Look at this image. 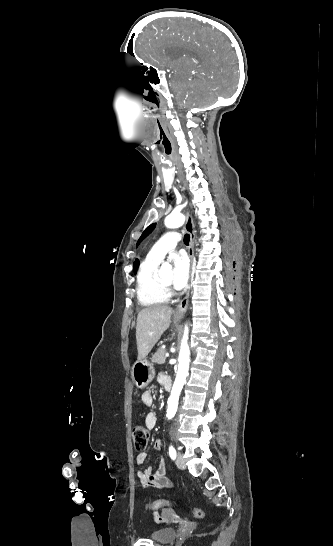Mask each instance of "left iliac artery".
<instances>
[{
  "label": "left iliac artery",
  "mask_w": 333,
  "mask_h": 546,
  "mask_svg": "<svg viewBox=\"0 0 333 546\" xmlns=\"http://www.w3.org/2000/svg\"><path fill=\"white\" fill-rule=\"evenodd\" d=\"M176 455H177V453H176L175 448L172 445H170L169 446V456L171 457L172 460H174L176 458Z\"/></svg>",
  "instance_id": "44dca946"
}]
</instances>
